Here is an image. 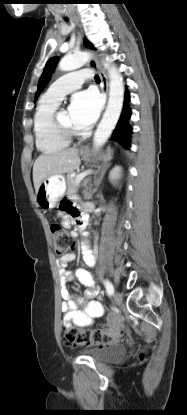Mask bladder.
<instances>
[{"mask_svg": "<svg viewBox=\"0 0 187 415\" xmlns=\"http://www.w3.org/2000/svg\"><path fill=\"white\" fill-rule=\"evenodd\" d=\"M125 351V343L114 342L100 348L82 349L80 353L100 362H112L121 359Z\"/></svg>", "mask_w": 187, "mask_h": 415, "instance_id": "bladder-1", "label": "bladder"}]
</instances>
